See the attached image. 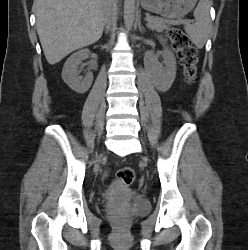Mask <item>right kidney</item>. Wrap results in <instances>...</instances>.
<instances>
[{"mask_svg": "<svg viewBox=\"0 0 248 250\" xmlns=\"http://www.w3.org/2000/svg\"><path fill=\"white\" fill-rule=\"evenodd\" d=\"M89 56L88 49H81L78 52L72 54L65 62L62 70L63 81L75 92L79 94L85 93L92 85L93 74L87 73L83 78L79 76V65Z\"/></svg>", "mask_w": 248, "mask_h": 250, "instance_id": "obj_1", "label": "right kidney"}]
</instances>
